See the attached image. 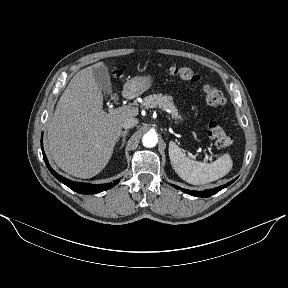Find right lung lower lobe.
Returning <instances> with one entry per match:
<instances>
[{
  "label": "right lung lower lobe",
  "instance_id": "98d812e1",
  "mask_svg": "<svg viewBox=\"0 0 288 288\" xmlns=\"http://www.w3.org/2000/svg\"><path fill=\"white\" fill-rule=\"evenodd\" d=\"M41 149L43 153V157L46 163V166L50 170V172L62 183H64L66 186H68L73 191H76L80 194H95L99 193L105 190H108L115 185L119 183V180L114 181L113 183H107V184H91V183H82V182H74L67 178L62 177L61 175L57 174L51 167L50 164L46 158V154L44 153L43 149V143L41 140Z\"/></svg>",
  "mask_w": 288,
  "mask_h": 288
}]
</instances>
